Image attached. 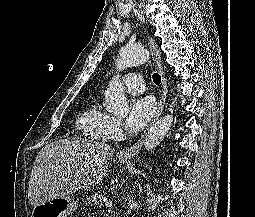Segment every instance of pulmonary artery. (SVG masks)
<instances>
[{"mask_svg":"<svg viewBox=\"0 0 255 217\" xmlns=\"http://www.w3.org/2000/svg\"><path fill=\"white\" fill-rule=\"evenodd\" d=\"M122 84L126 91L131 94H140L145 90V83L142 75L138 73H128L122 78Z\"/></svg>","mask_w":255,"mask_h":217,"instance_id":"obj_1","label":"pulmonary artery"}]
</instances>
